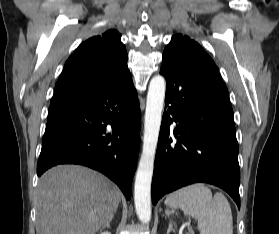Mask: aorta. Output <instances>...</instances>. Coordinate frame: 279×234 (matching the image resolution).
<instances>
[{
    "mask_svg": "<svg viewBox=\"0 0 279 234\" xmlns=\"http://www.w3.org/2000/svg\"><path fill=\"white\" fill-rule=\"evenodd\" d=\"M166 82L163 76H154L147 93L144 119L143 148L135 177L134 203L139 220L148 223L151 219V182L154 169Z\"/></svg>",
    "mask_w": 279,
    "mask_h": 234,
    "instance_id": "aorta-1",
    "label": "aorta"
}]
</instances>
